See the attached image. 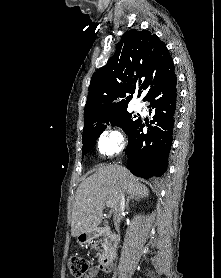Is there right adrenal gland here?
Wrapping results in <instances>:
<instances>
[{"label":"right adrenal gland","instance_id":"1","mask_svg":"<svg viewBox=\"0 0 221 278\" xmlns=\"http://www.w3.org/2000/svg\"><path fill=\"white\" fill-rule=\"evenodd\" d=\"M139 199H140V197H128V198H127V201H126V207L129 206L130 200H139Z\"/></svg>","mask_w":221,"mask_h":278}]
</instances>
